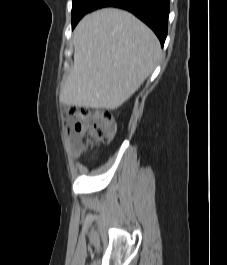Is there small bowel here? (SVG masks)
<instances>
[{"label": "small bowel", "instance_id": "c3829d8e", "mask_svg": "<svg viewBox=\"0 0 227 265\" xmlns=\"http://www.w3.org/2000/svg\"><path fill=\"white\" fill-rule=\"evenodd\" d=\"M72 149H73V154H74L75 156L80 155V154L83 152V150H84L83 148H81V147L77 144L76 140H75L74 143H73Z\"/></svg>", "mask_w": 227, "mask_h": 265}]
</instances>
